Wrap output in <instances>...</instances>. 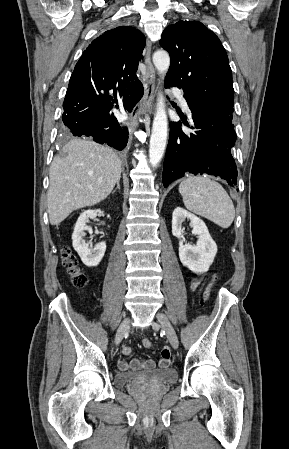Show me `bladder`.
<instances>
[{
	"instance_id": "1",
	"label": "bladder",
	"mask_w": 289,
	"mask_h": 449,
	"mask_svg": "<svg viewBox=\"0 0 289 449\" xmlns=\"http://www.w3.org/2000/svg\"><path fill=\"white\" fill-rule=\"evenodd\" d=\"M177 376V371L171 367L144 372H117L114 383L119 388L130 384H170L176 381Z\"/></svg>"
}]
</instances>
